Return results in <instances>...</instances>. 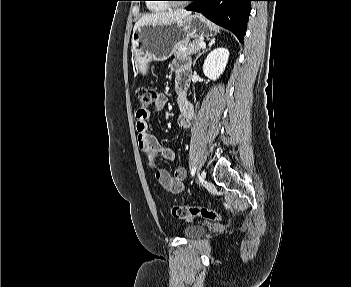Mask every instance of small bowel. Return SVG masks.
<instances>
[{
	"mask_svg": "<svg viewBox=\"0 0 351 287\" xmlns=\"http://www.w3.org/2000/svg\"><path fill=\"white\" fill-rule=\"evenodd\" d=\"M171 71L176 76L177 89L179 92L177 98L180 108L178 124L181 128L188 129L194 114V107L187 99L185 93L189 64L184 59H176L171 64ZM167 101L168 98L164 93H157L153 102V110H163L167 104ZM150 115V110L141 108L135 113L139 146L145 154L148 166L154 170V174L158 182L167 191L171 193H179L184 189L186 170L183 167L178 166L171 174L166 169L158 168L157 161L160 157L173 160L175 157V152L172 148L163 147L156 137L151 134L148 123Z\"/></svg>",
	"mask_w": 351,
	"mask_h": 287,
	"instance_id": "1",
	"label": "small bowel"
}]
</instances>
